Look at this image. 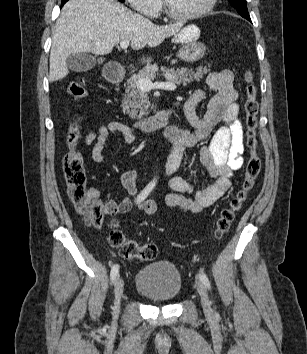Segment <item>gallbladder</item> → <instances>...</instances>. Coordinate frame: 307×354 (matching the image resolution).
Instances as JSON below:
<instances>
[{"instance_id":"bac80fb5","label":"gallbladder","mask_w":307,"mask_h":354,"mask_svg":"<svg viewBox=\"0 0 307 354\" xmlns=\"http://www.w3.org/2000/svg\"><path fill=\"white\" fill-rule=\"evenodd\" d=\"M69 69L76 72H86L96 65V58L87 53H73L66 60Z\"/></svg>"}]
</instances>
